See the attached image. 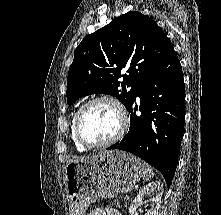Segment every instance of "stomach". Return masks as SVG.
<instances>
[{
	"mask_svg": "<svg viewBox=\"0 0 221 215\" xmlns=\"http://www.w3.org/2000/svg\"><path fill=\"white\" fill-rule=\"evenodd\" d=\"M141 176V160L120 150L67 163L65 184L70 215H86L89 204L98 198H112L132 190Z\"/></svg>",
	"mask_w": 221,
	"mask_h": 215,
	"instance_id": "obj_1",
	"label": "stomach"
}]
</instances>
